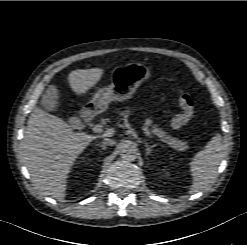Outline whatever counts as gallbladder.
<instances>
[{
    "label": "gallbladder",
    "instance_id": "gallbladder-1",
    "mask_svg": "<svg viewBox=\"0 0 247 245\" xmlns=\"http://www.w3.org/2000/svg\"><path fill=\"white\" fill-rule=\"evenodd\" d=\"M42 107L49 112L56 110L58 106V91L55 87L49 86L41 98Z\"/></svg>",
    "mask_w": 247,
    "mask_h": 245
}]
</instances>
